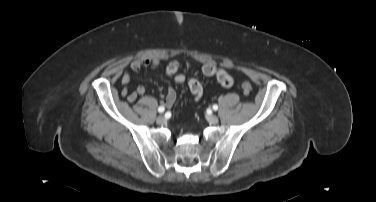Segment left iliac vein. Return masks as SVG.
<instances>
[{
	"label": "left iliac vein",
	"mask_w": 376,
	"mask_h": 202,
	"mask_svg": "<svg viewBox=\"0 0 376 202\" xmlns=\"http://www.w3.org/2000/svg\"><path fill=\"white\" fill-rule=\"evenodd\" d=\"M206 118H207V121L210 124H213V125H215L219 122L218 117L216 115H213V114L208 115Z\"/></svg>",
	"instance_id": "obj_1"
}]
</instances>
